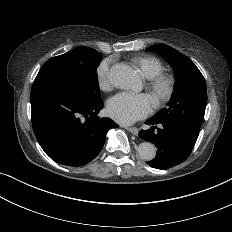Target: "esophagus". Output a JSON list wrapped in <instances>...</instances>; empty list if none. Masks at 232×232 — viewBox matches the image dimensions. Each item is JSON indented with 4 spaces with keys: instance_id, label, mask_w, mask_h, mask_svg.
<instances>
[{
    "instance_id": "1",
    "label": "esophagus",
    "mask_w": 232,
    "mask_h": 232,
    "mask_svg": "<svg viewBox=\"0 0 232 232\" xmlns=\"http://www.w3.org/2000/svg\"><path fill=\"white\" fill-rule=\"evenodd\" d=\"M126 130H128L129 132H131L135 136L138 135V132H139L138 128H136V127H127Z\"/></svg>"
}]
</instances>
